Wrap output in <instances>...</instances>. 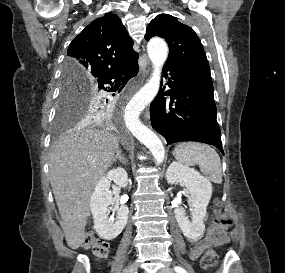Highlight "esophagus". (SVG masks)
<instances>
[{"label": "esophagus", "mask_w": 285, "mask_h": 273, "mask_svg": "<svg viewBox=\"0 0 285 273\" xmlns=\"http://www.w3.org/2000/svg\"><path fill=\"white\" fill-rule=\"evenodd\" d=\"M147 73H148V71H145V72H144V76H146ZM149 116H150V114H149V112L147 111V112L145 113V118H146V119H149Z\"/></svg>", "instance_id": "obj_1"}]
</instances>
